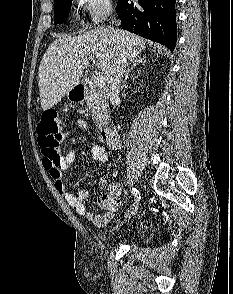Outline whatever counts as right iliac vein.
I'll list each match as a JSON object with an SVG mask.
<instances>
[{
    "label": "right iliac vein",
    "mask_w": 233,
    "mask_h": 294,
    "mask_svg": "<svg viewBox=\"0 0 233 294\" xmlns=\"http://www.w3.org/2000/svg\"><path fill=\"white\" fill-rule=\"evenodd\" d=\"M137 209H138V202H136L133 207H131L127 214H126V217L127 218H130L131 216L135 215V213L137 212Z\"/></svg>",
    "instance_id": "1"
}]
</instances>
